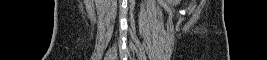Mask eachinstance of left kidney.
<instances>
[{"mask_svg":"<svg viewBox=\"0 0 267 60\" xmlns=\"http://www.w3.org/2000/svg\"><path fill=\"white\" fill-rule=\"evenodd\" d=\"M168 3L173 4V5H176L177 4V1L176 0H168Z\"/></svg>","mask_w":267,"mask_h":60,"instance_id":"5707ae66","label":"left kidney"}]
</instances>
